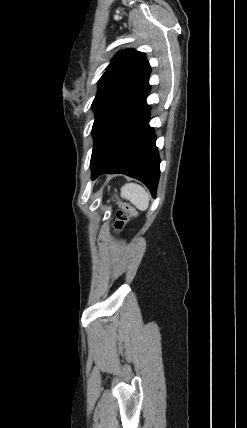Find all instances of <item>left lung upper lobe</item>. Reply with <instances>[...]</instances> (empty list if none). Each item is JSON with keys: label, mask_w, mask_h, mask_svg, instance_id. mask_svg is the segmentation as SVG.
<instances>
[{"label": "left lung upper lobe", "mask_w": 247, "mask_h": 428, "mask_svg": "<svg viewBox=\"0 0 247 428\" xmlns=\"http://www.w3.org/2000/svg\"><path fill=\"white\" fill-rule=\"evenodd\" d=\"M150 72L145 54L133 49L121 51L111 60L98 81L97 94L91 106L95 112L94 141L114 113L150 87Z\"/></svg>", "instance_id": "5c2ea615"}]
</instances>
